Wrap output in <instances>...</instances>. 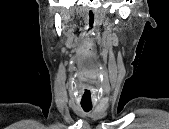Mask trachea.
Wrapping results in <instances>:
<instances>
[{
  "label": "trachea",
  "instance_id": "obj_1",
  "mask_svg": "<svg viewBox=\"0 0 169 129\" xmlns=\"http://www.w3.org/2000/svg\"><path fill=\"white\" fill-rule=\"evenodd\" d=\"M82 108L85 112H89L91 109H92V106H85V105H82Z\"/></svg>",
  "mask_w": 169,
  "mask_h": 129
}]
</instances>
